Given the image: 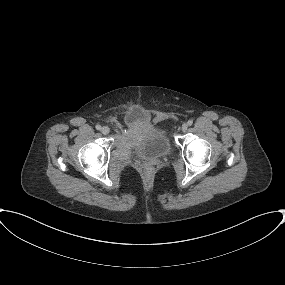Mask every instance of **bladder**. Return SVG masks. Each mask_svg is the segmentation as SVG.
<instances>
[{"mask_svg": "<svg viewBox=\"0 0 285 285\" xmlns=\"http://www.w3.org/2000/svg\"><path fill=\"white\" fill-rule=\"evenodd\" d=\"M126 125L140 135L136 150L141 155L162 157L171 152L172 144L167 130L151 122L145 113L132 110L127 116Z\"/></svg>", "mask_w": 285, "mask_h": 285, "instance_id": "31cf9c89", "label": "bladder"}]
</instances>
